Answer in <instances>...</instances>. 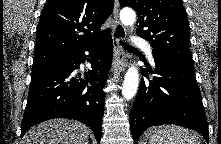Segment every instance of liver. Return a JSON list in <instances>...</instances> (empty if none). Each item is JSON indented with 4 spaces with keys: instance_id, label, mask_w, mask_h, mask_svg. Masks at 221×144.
Returning a JSON list of instances; mask_svg holds the SVG:
<instances>
[{
    "instance_id": "liver-1",
    "label": "liver",
    "mask_w": 221,
    "mask_h": 144,
    "mask_svg": "<svg viewBox=\"0 0 221 144\" xmlns=\"http://www.w3.org/2000/svg\"><path fill=\"white\" fill-rule=\"evenodd\" d=\"M89 128L68 119L45 121L27 131L23 144H88Z\"/></svg>"
}]
</instances>
